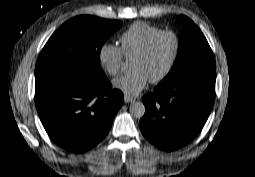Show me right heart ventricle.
<instances>
[{
	"label": "right heart ventricle",
	"instance_id": "1",
	"mask_svg": "<svg viewBox=\"0 0 255 177\" xmlns=\"http://www.w3.org/2000/svg\"><path fill=\"white\" fill-rule=\"evenodd\" d=\"M161 29L146 22L137 21L120 36L123 55L126 58L135 57L144 47L150 37Z\"/></svg>",
	"mask_w": 255,
	"mask_h": 177
}]
</instances>
